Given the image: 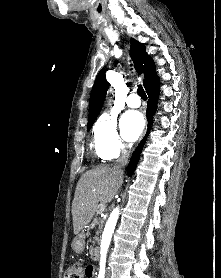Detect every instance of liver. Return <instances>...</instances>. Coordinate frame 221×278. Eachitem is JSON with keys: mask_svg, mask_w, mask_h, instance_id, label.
<instances>
[{"mask_svg": "<svg viewBox=\"0 0 221 278\" xmlns=\"http://www.w3.org/2000/svg\"><path fill=\"white\" fill-rule=\"evenodd\" d=\"M123 183V175L114 168L98 167L85 172L79 179L72 203L74 234L93 218L99 202H111Z\"/></svg>", "mask_w": 221, "mask_h": 278, "instance_id": "liver-1", "label": "liver"}]
</instances>
